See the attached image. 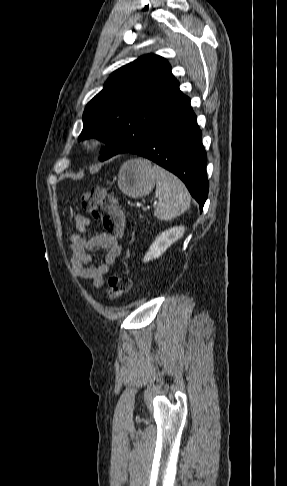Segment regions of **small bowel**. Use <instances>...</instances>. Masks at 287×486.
<instances>
[{
	"mask_svg": "<svg viewBox=\"0 0 287 486\" xmlns=\"http://www.w3.org/2000/svg\"><path fill=\"white\" fill-rule=\"evenodd\" d=\"M75 225L78 233L69 237L72 273L77 278L91 280L93 286L99 288L103 285L104 276L121 254L122 248L117 238L105 232L88 236L91 221L83 215H78L75 218ZM92 250L103 251L104 261L97 265H91L92 255L90 252Z\"/></svg>",
	"mask_w": 287,
	"mask_h": 486,
	"instance_id": "small-bowel-1",
	"label": "small bowel"
}]
</instances>
